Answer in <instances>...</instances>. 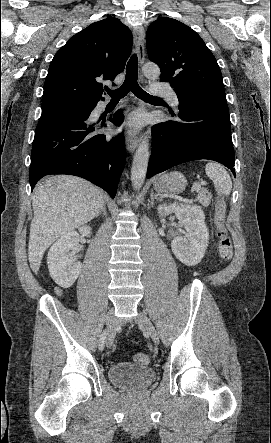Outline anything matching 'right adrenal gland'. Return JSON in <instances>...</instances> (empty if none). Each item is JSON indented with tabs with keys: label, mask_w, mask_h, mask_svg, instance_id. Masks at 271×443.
Listing matches in <instances>:
<instances>
[{
	"label": "right adrenal gland",
	"mask_w": 271,
	"mask_h": 443,
	"mask_svg": "<svg viewBox=\"0 0 271 443\" xmlns=\"http://www.w3.org/2000/svg\"><path fill=\"white\" fill-rule=\"evenodd\" d=\"M101 214H103V216H106V206H103L100 214H98V216H101ZM98 216H96V218H98Z\"/></svg>",
	"instance_id": "1"
}]
</instances>
